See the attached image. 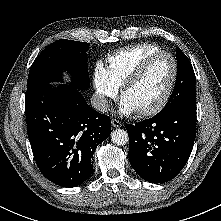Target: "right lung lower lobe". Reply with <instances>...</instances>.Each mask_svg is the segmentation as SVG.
<instances>
[{"mask_svg":"<svg viewBox=\"0 0 221 221\" xmlns=\"http://www.w3.org/2000/svg\"><path fill=\"white\" fill-rule=\"evenodd\" d=\"M32 152L41 173L63 187H76L93 171L97 145L110 136L111 120L92 109L72 85L41 86L25 97Z\"/></svg>","mask_w":221,"mask_h":221,"instance_id":"98d812e1","label":"right lung lower lobe"}]
</instances>
